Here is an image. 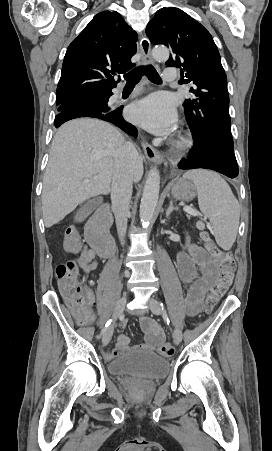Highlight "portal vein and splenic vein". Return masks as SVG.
<instances>
[{
    "instance_id": "1",
    "label": "portal vein and splenic vein",
    "mask_w": 272,
    "mask_h": 451,
    "mask_svg": "<svg viewBox=\"0 0 272 451\" xmlns=\"http://www.w3.org/2000/svg\"><path fill=\"white\" fill-rule=\"evenodd\" d=\"M89 182V180H87ZM184 212H187V214H191V216H197L196 210H193V208H189V206H184L183 208Z\"/></svg>"
}]
</instances>
